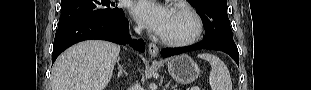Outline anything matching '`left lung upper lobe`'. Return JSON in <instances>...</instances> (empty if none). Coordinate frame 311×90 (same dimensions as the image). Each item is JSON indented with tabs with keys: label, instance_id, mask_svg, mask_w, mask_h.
Wrapping results in <instances>:
<instances>
[{
	"label": "left lung upper lobe",
	"instance_id": "obj_1",
	"mask_svg": "<svg viewBox=\"0 0 311 90\" xmlns=\"http://www.w3.org/2000/svg\"><path fill=\"white\" fill-rule=\"evenodd\" d=\"M205 25L204 39L233 41L226 0H190Z\"/></svg>",
	"mask_w": 311,
	"mask_h": 90
}]
</instances>
